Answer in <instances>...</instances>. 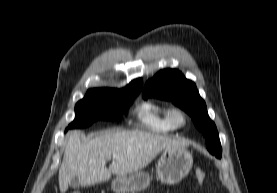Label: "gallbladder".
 <instances>
[{
	"label": "gallbladder",
	"instance_id": "bac80fb5",
	"mask_svg": "<svg viewBox=\"0 0 277 193\" xmlns=\"http://www.w3.org/2000/svg\"><path fill=\"white\" fill-rule=\"evenodd\" d=\"M80 186V182L78 178H74L70 181V187L72 188H78Z\"/></svg>",
	"mask_w": 277,
	"mask_h": 193
}]
</instances>
